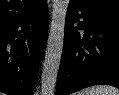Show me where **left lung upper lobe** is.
<instances>
[{
    "label": "left lung upper lobe",
    "mask_w": 119,
    "mask_h": 95,
    "mask_svg": "<svg viewBox=\"0 0 119 95\" xmlns=\"http://www.w3.org/2000/svg\"><path fill=\"white\" fill-rule=\"evenodd\" d=\"M99 14L119 18V0H70Z\"/></svg>",
    "instance_id": "left-lung-upper-lobe-1"
}]
</instances>
